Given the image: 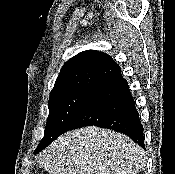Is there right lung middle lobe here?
<instances>
[{"mask_svg": "<svg viewBox=\"0 0 175 174\" xmlns=\"http://www.w3.org/2000/svg\"><path fill=\"white\" fill-rule=\"evenodd\" d=\"M91 91H75L49 98V116L44 137L38 148L48 146L66 131L72 118L77 113Z\"/></svg>", "mask_w": 175, "mask_h": 174, "instance_id": "1", "label": "right lung middle lobe"}]
</instances>
